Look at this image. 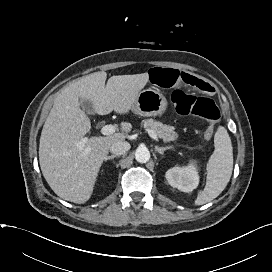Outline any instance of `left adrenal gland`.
Here are the masks:
<instances>
[{
  "mask_svg": "<svg viewBox=\"0 0 272 272\" xmlns=\"http://www.w3.org/2000/svg\"><path fill=\"white\" fill-rule=\"evenodd\" d=\"M172 149V147H158L155 146V151H157L159 154L163 155L165 150Z\"/></svg>",
  "mask_w": 272,
  "mask_h": 272,
  "instance_id": "1",
  "label": "left adrenal gland"
}]
</instances>
